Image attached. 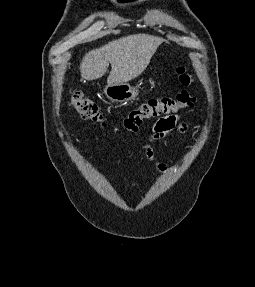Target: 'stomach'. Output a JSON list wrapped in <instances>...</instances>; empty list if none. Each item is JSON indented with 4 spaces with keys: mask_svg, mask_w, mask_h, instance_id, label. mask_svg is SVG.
I'll return each instance as SVG.
<instances>
[{
    "mask_svg": "<svg viewBox=\"0 0 255 287\" xmlns=\"http://www.w3.org/2000/svg\"><path fill=\"white\" fill-rule=\"evenodd\" d=\"M104 94L111 102L127 104V102L136 100L139 92L137 88H132L127 82H122V84H113V86H109L108 84V86L104 88Z\"/></svg>",
    "mask_w": 255,
    "mask_h": 287,
    "instance_id": "obj_1",
    "label": "stomach"
}]
</instances>
